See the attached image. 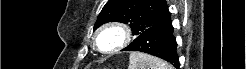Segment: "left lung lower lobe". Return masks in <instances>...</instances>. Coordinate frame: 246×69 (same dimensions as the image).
<instances>
[{"mask_svg":"<svg viewBox=\"0 0 246 69\" xmlns=\"http://www.w3.org/2000/svg\"><path fill=\"white\" fill-rule=\"evenodd\" d=\"M122 51L145 52L179 67L177 43L173 35L171 19L145 30Z\"/></svg>","mask_w":246,"mask_h":69,"instance_id":"0a47b994","label":"left lung lower lobe"}]
</instances>
